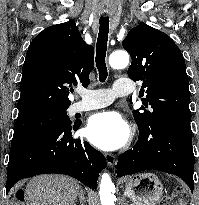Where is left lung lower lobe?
I'll return each instance as SVG.
<instances>
[{
    "mask_svg": "<svg viewBox=\"0 0 199 205\" xmlns=\"http://www.w3.org/2000/svg\"><path fill=\"white\" fill-rule=\"evenodd\" d=\"M145 170H159L180 177L193 192L194 153L190 121L163 119L157 126L139 131L133 149L118 158L120 177Z\"/></svg>",
    "mask_w": 199,
    "mask_h": 205,
    "instance_id": "obj_1",
    "label": "left lung lower lobe"
}]
</instances>
